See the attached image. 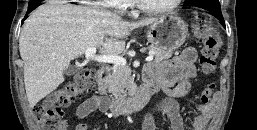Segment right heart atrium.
<instances>
[{
	"instance_id": "obj_1",
	"label": "right heart atrium",
	"mask_w": 257,
	"mask_h": 130,
	"mask_svg": "<svg viewBox=\"0 0 257 130\" xmlns=\"http://www.w3.org/2000/svg\"><path fill=\"white\" fill-rule=\"evenodd\" d=\"M131 2L132 0H102L100 4L105 7L124 10L131 4Z\"/></svg>"
}]
</instances>
